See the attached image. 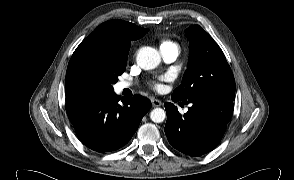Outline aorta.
<instances>
[{"label": "aorta", "instance_id": "obj_1", "mask_svg": "<svg viewBox=\"0 0 294 180\" xmlns=\"http://www.w3.org/2000/svg\"><path fill=\"white\" fill-rule=\"evenodd\" d=\"M161 62L158 51L152 47H143L137 55V64L144 70L156 68ZM150 118L155 123H161L166 118V113L162 108H155L150 113Z\"/></svg>", "mask_w": 294, "mask_h": 180}]
</instances>
